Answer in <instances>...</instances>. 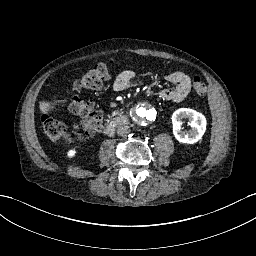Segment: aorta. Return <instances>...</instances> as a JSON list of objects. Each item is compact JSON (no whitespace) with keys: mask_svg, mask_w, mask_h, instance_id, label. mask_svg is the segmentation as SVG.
Returning a JSON list of instances; mask_svg holds the SVG:
<instances>
[{"mask_svg":"<svg viewBox=\"0 0 256 256\" xmlns=\"http://www.w3.org/2000/svg\"><path fill=\"white\" fill-rule=\"evenodd\" d=\"M131 115L139 123L150 122L154 118V108L150 102L139 100L133 104Z\"/></svg>","mask_w":256,"mask_h":256,"instance_id":"1","label":"aorta"}]
</instances>
